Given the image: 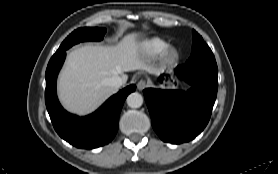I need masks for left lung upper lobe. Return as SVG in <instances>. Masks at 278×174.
<instances>
[{
    "label": "left lung upper lobe",
    "mask_w": 278,
    "mask_h": 174,
    "mask_svg": "<svg viewBox=\"0 0 278 174\" xmlns=\"http://www.w3.org/2000/svg\"><path fill=\"white\" fill-rule=\"evenodd\" d=\"M192 33V53L186 64L200 63L211 69L218 70L215 57L209 46L204 42L203 38L195 30H193Z\"/></svg>",
    "instance_id": "obj_1"
}]
</instances>
